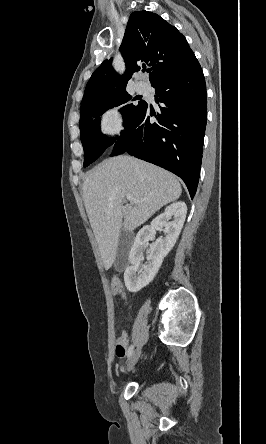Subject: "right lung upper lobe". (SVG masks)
<instances>
[{"mask_svg": "<svg viewBox=\"0 0 266 444\" xmlns=\"http://www.w3.org/2000/svg\"><path fill=\"white\" fill-rule=\"evenodd\" d=\"M126 71L118 75L112 68V58L105 60L88 81L81 105L116 90L125 89L139 65L151 66V85L197 61L185 37L176 27L148 11L130 15L120 47Z\"/></svg>", "mask_w": 266, "mask_h": 444, "instance_id": "right-lung-upper-lobe-1", "label": "right lung upper lobe"}]
</instances>
